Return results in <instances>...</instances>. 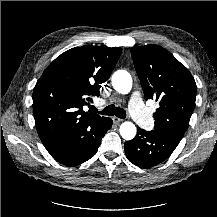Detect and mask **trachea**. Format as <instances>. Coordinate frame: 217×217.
<instances>
[{
    "label": "trachea",
    "mask_w": 217,
    "mask_h": 217,
    "mask_svg": "<svg viewBox=\"0 0 217 217\" xmlns=\"http://www.w3.org/2000/svg\"><path fill=\"white\" fill-rule=\"evenodd\" d=\"M91 111L92 112H98L97 109L94 106H91ZM102 115H107V116H113L115 115L118 118L124 119L126 118V111L121 108V107H116L115 105L111 104L104 108L102 111L98 112Z\"/></svg>",
    "instance_id": "trachea-1"
}]
</instances>
